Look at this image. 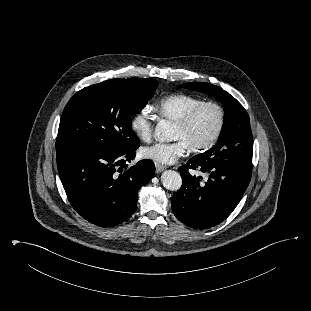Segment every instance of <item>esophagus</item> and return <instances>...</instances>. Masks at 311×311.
Here are the masks:
<instances>
[{
  "label": "esophagus",
  "instance_id": "1",
  "mask_svg": "<svg viewBox=\"0 0 311 311\" xmlns=\"http://www.w3.org/2000/svg\"><path fill=\"white\" fill-rule=\"evenodd\" d=\"M155 172L156 173H161L163 170H165L166 169V166H164V165H161V164H159V163H156L155 164Z\"/></svg>",
  "mask_w": 311,
  "mask_h": 311
}]
</instances>
